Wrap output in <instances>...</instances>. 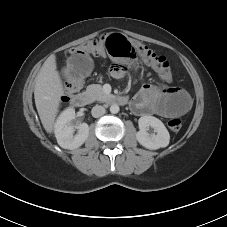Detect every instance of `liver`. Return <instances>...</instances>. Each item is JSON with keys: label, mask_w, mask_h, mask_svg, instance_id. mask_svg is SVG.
<instances>
[{"label": "liver", "mask_w": 227, "mask_h": 227, "mask_svg": "<svg viewBox=\"0 0 227 227\" xmlns=\"http://www.w3.org/2000/svg\"><path fill=\"white\" fill-rule=\"evenodd\" d=\"M63 84L57 71L56 58L48 57L35 78L34 99L41 123L47 133H52L59 112Z\"/></svg>", "instance_id": "6515ba94"}]
</instances>
